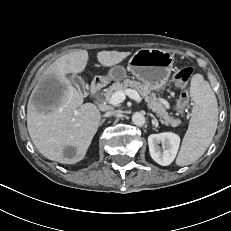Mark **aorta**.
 <instances>
[{
    "instance_id": "aorta-1",
    "label": "aorta",
    "mask_w": 231,
    "mask_h": 231,
    "mask_svg": "<svg viewBox=\"0 0 231 231\" xmlns=\"http://www.w3.org/2000/svg\"><path fill=\"white\" fill-rule=\"evenodd\" d=\"M132 122L136 125V126H143L145 124V117L142 113L140 112H135L132 115Z\"/></svg>"
}]
</instances>
